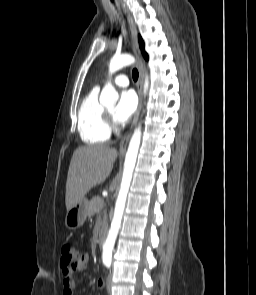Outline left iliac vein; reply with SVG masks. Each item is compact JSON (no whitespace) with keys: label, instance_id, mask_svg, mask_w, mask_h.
Here are the masks:
<instances>
[{"label":"left iliac vein","instance_id":"obj_1","mask_svg":"<svg viewBox=\"0 0 256 295\" xmlns=\"http://www.w3.org/2000/svg\"><path fill=\"white\" fill-rule=\"evenodd\" d=\"M112 287V272L110 271L107 277V289L110 292Z\"/></svg>","mask_w":256,"mask_h":295}]
</instances>
